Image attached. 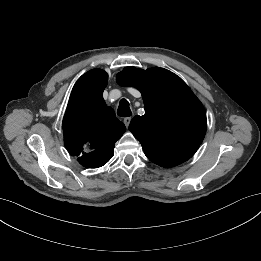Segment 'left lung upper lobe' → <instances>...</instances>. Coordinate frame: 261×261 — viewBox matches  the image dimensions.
<instances>
[{
    "label": "left lung upper lobe",
    "instance_id": "5c2ea615",
    "mask_svg": "<svg viewBox=\"0 0 261 261\" xmlns=\"http://www.w3.org/2000/svg\"><path fill=\"white\" fill-rule=\"evenodd\" d=\"M116 80L140 90L145 115L135 116L129 130L152 162L170 168L191 158L206 133V112L186 83L159 67L146 71L125 67Z\"/></svg>",
    "mask_w": 261,
    "mask_h": 261
}]
</instances>
